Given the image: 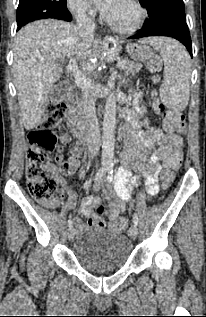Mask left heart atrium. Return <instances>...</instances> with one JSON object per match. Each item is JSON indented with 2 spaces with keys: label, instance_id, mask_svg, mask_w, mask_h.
I'll list each match as a JSON object with an SVG mask.
<instances>
[{
  "label": "left heart atrium",
  "instance_id": "1",
  "mask_svg": "<svg viewBox=\"0 0 206 317\" xmlns=\"http://www.w3.org/2000/svg\"><path fill=\"white\" fill-rule=\"evenodd\" d=\"M118 0H93L96 7L106 18L110 16V13L115 8Z\"/></svg>",
  "mask_w": 206,
  "mask_h": 317
}]
</instances>
